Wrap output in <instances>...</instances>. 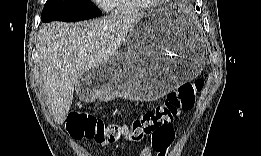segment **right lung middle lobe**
<instances>
[{
  "mask_svg": "<svg viewBox=\"0 0 261 156\" xmlns=\"http://www.w3.org/2000/svg\"><path fill=\"white\" fill-rule=\"evenodd\" d=\"M90 0H47L42 21H79L101 15Z\"/></svg>",
  "mask_w": 261,
  "mask_h": 156,
  "instance_id": "1",
  "label": "right lung middle lobe"
}]
</instances>
